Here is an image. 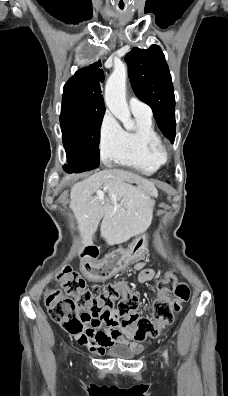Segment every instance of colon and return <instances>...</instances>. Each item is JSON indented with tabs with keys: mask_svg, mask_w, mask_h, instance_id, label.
<instances>
[{
	"mask_svg": "<svg viewBox=\"0 0 228 396\" xmlns=\"http://www.w3.org/2000/svg\"><path fill=\"white\" fill-rule=\"evenodd\" d=\"M56 278L67 295L51 290L45 296V304L51 319L73 335L82 333L86 326H106L129 328L138 341L153 338L173 322L175 313L190 297L188 286L177 284L175 274L168 272L157 285L158 297L153 303V318L149 319L136 314L139 298L124 281L108 283L96 295L70 266L62 267ZM116 303L118 314L113 313Z\"/></svg>",
	"mask_w": 228,
	"mask_h": 396,
	"instance_id": "1",
	"label": "colon"
}]
</instances>
